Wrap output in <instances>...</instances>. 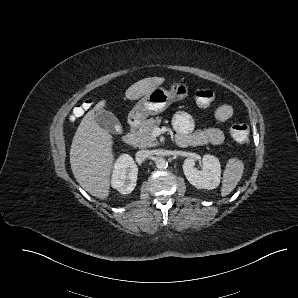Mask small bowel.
Masks as SVG:
<instances>
[{
    "label": "small bowel",
    "mask_w": 298,
    "mask_h": 298,
    "mask_svg": "<svg viewBox=\"0 0 298 298\" xmlns=\"http://www.w3.org/2000/svg\"><path fill=\"white\" fill-rule=\"evenodd\" d=\"M233 115V108L228 104L219 105L214 111V118L219 122L229 120ZM173 126L178 133L190 134L194 127L192 117L186 112H178L173 118ZM202 139V144L220 145L224 141V134L218 128H209L202 132L193 133Z\"/></svg>",
    "instance_id": "obj_1"
}]
</instances>
